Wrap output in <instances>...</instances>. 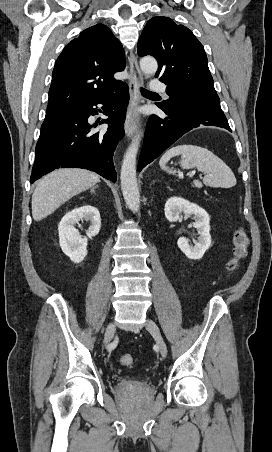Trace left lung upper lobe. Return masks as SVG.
Masks as SVG:
<instances>
[{
    "instance_id": "5c2ea615",
    "label": "left lung upper lobe",
    "mask_w": 272,
    "mask_h": 452,
    "mask_svg": "<svg viewBox=\"0 0 272 452\" xmlns=\"http://www.w3.org/2000/svg\"><path fill=\"white\" fill-rule=\"evenodd\" d=\"M137 47L139 56L151 55L158 61L155 77L167 85L170 96L163 104L191 98L220 102L204 48L187 27L168 17H153Z\"/></svg>"
}]
</instances>
